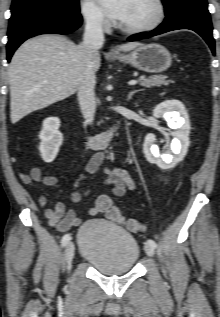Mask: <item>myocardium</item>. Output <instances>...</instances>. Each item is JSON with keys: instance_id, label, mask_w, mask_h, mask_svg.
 I'll return each instance as SVG.
<instances>
[{"instance_id": "1", "label": "myocardium", "mask_w": 220, "mask_h": 317, "mask_svg": "<svg viewBox=\"0 0 220 317\" xmlns=\"http://www.w3.org/2000/svg\"><path fill=\"white\" fill-rule=\"evenodd\" d=\"M152 2L156 7V15L151 22L136 27H127L120 24L119 28L121 29V31L130 35H138L151 32L159 27L165 18L166 6L163 0H152Z\"/></svg>"}]
</instances>
